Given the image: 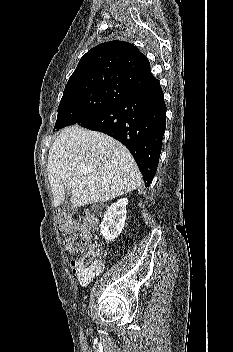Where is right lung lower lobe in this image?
<instances>
[{
  "instance_id": "98d812e1",
  "label": "right lung lower lobe",
  "mask_w": 233,
  "mask_h": 352,
  "mask_svg": "<svg viewBox=\"0 0 233 352\" xmlns=\"http://www.w3.org/2000/svg\"><path fill=\"white\" fill-rule=\"evenodd\" d=\"M79 125L103 132L133 155L148 187L156 173L166 128V105L159 82L106 108Z\"/></svg>"
}]
</instances>
